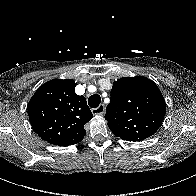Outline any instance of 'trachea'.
I'll return each mask as SVG.
<instances>
[{"label":"trachea","mask_w":196,"mask_h":196,"mask_svg":"<svg viewBox=\"0 0 196 196\" xmlns=\"http://www.w3.org/2000/svg\"><path fill=\"white\" fill-rule=\"evenodd\" d=\"M101 102V97L98 94L91 95L88 98V104L91 108H96Z\"/></svg>","instance_id":"1"}]
</instances>
